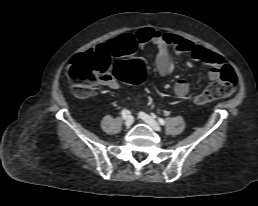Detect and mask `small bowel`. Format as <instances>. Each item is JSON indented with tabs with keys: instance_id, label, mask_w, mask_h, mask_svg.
I'll return each instance as SVG.
<instances>
[{
	"instance_id": "obj_1",
	"label": "small bowel",
	"mask_w": 258,
	"mask_h": 206,
	"mask_svg": "<svg viewBox=\"0 0 258 206\" xmlns=\"http://www.w3.org/2000/svg\"><path fill=\"white\" fill-rule=\"evenodd\" d=\"M148 45H152L157 49L155 66L159 75L163 77L174 72L176 60L184 61L190 66L191 62L183 58V55L187 54L193 60L202 62L210 67L208 76L211 80L220 78L223 67L222 56L176 34L143 29L135 34H122L106 44L96 46L93 50H101L108 55L121 57L133 53L137 47L144 48ZM170 48H173L174 53ZM103 83L112 89L119 87V83L114 77L104 80ZM189 88V83L184 79H180L174 85V93L177 97L183 98L188 94Z\"/></svg>"
}]
</instances>
